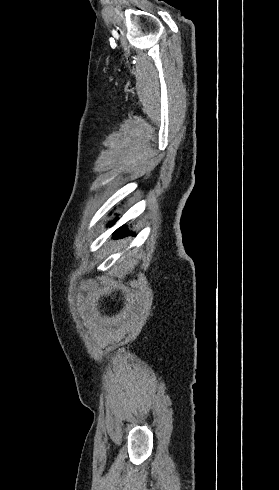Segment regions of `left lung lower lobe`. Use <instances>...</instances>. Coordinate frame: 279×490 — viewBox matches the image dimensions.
Segmentation results:
<instances>
[{
	"instance_id": "1",
	"label": "left lung lower lobe",
	"mask_w": 279,
	"mask_h": 490,
	"mask_svg": "<svg viewBox=\"0 0 279 490\" xmlns=\"http://www.w3.org/2000/svg\"><path fill=\"white\" fill-rule=\"evenodd\" d=\"M114 224L110 223L109 226H112ZM127 235H135L134 233L130 232L129 230H126V227L119 228L115 233H114V238H122L123 236Z\"/></svg>"
}]
</instances>
